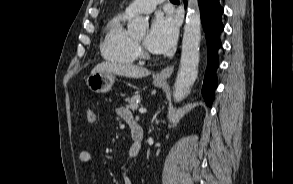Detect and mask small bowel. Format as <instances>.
<instances>
[{
    "mask_svg": "<svg viewBox=\"0 0 293 184\" xmlns=\"http://www.w3.org/2000/svg\"><path fill=\"white\" fill-rule=\"evenodd\" d=\"M116 114L126 123L129 121L134 120L131 111L126 107H118L116 109ZM139 151H136L133 144H131L129 151H128V162L123 167V174H122V183L123 184H134L131 178L126 174L131 161L138 155ZM92 155L89 150H83L79 153L78 160L82 164H88L91 162Z\"/></svg>",
    "mask_w": 293,
    "mask_h": 184,
    "instance_id": "small-bowel-1",
    "label": "small bowel"
}]
</instances>
